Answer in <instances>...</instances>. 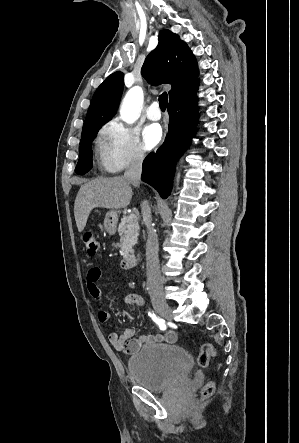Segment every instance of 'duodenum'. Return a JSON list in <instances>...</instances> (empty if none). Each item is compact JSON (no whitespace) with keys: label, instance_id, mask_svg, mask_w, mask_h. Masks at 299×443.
Masks as SVG:
<instances>
[{"label":"duodenum","instance_id":"duodenum-1","mask_svg":"<svg viewBox=\"0 0 299 443\" xmlns=\"http://www.w3.org/2000/svg\"><path fill=\"white\" fill-rule=\"evenodd\" d=\"M137 261H138L137 255H133V254L126 255L121 258L120 267L122 269H130L136 265Z\"/></svg>","mask_w":299,"mask_h":443}]
</instances>
